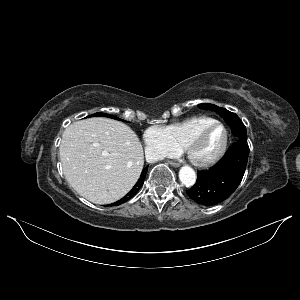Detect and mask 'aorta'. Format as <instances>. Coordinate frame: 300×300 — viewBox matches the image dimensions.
<instances>
[{
  "label": "aorta",
  "mask_w": 300,
  "mask_h": 300,
  "mask_svg": "<svg viewBox=\"0 0 300 300\" xmlns=\"http://www.w3.org/2000/svg\"><path fill=\"white\" fill-rule=\"evenodd\" d=\"M179 179L184 186H193L196 182V173L191 167L183 166L179 171Z\"/></svg>",
  "instance_id": "1"
}]
</instances>
